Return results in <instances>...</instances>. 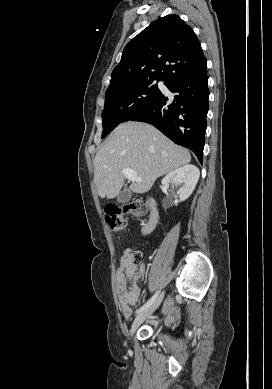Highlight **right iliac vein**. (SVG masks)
<instances>
[{
    "instance_id": "obj_1",
    "label": "right iliac vein",
    "mask_w": 272,
    "mask_h": 389,
    "mask_svg": "<svg viewBox=\"0 0 272 389\" xmlns=\"http://www.w3.org/2000/svg\"><path fill=\"white\" fill-rule=\"evenodd\" d=\"M163 293L154 301L152 305H150L147 309L142 311L133 321L132 326H131V334H134L139 325L145 321L160 305L163 299Z\"/></svg>"
}]
</instances>
